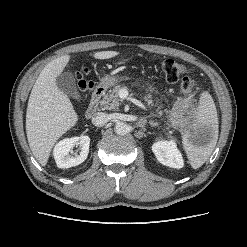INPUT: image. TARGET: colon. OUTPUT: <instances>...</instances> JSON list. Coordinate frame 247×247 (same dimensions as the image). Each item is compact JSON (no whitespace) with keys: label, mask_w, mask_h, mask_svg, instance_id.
Returning <instances> with one entry per match:
<instances>
[{"label":"colon","mask_w":247,"mask_h":247,"mask_svg":"<svg viewBox=\"0 0 247 247\" xmlns=\"http://www.w3.org/2000/svg\"><path fill=\"white\" fill-rule=\"evenodd\" d=\"M158 68L165 75L168 82L176 83L180 80V90L183 94L192 92L194 81L188 76H183L186 72V67L183 63L173 59H166L159 64ZM78 80L82 92L88 91L92 87L91 82L84 79L83 73L78 74Z\"/></svg>","instance_id":"obj_1"}]
</instances>
